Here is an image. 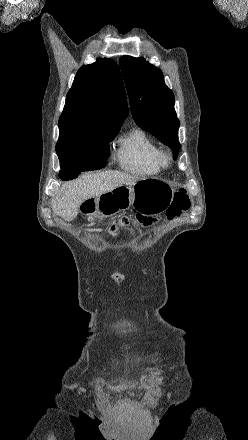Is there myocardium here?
<instances>
[{
	"mask_svg": "<svg viewBox=\"0 0 248 440\" xmlns=\"http://www.w3.org/2000/svg\"><path fill=\"white\" fill-rule=\"evenodd\" d=\"M170 155L166 152H161L159 155V161L162 167H166L170 163Z\"/></svg>",
	"mask_w": 248,
	"mask_h": 440,
	"instance_id": "obj_1",
	"label": "myocardium"
}]
</instances>
